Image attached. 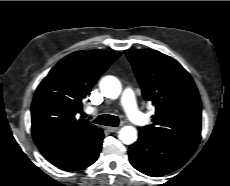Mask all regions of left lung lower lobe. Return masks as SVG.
<instances>
[{
  "label": "left lung lower lobe",
  "instance_id": "left-lung-lower-lobe-1",
  "mask_svg": "<svg viewBox=\"0 0 230 186\" xmlns=\"http://www.w3.org/2000/svg\"><path fill=\"white\" fill-rule=\"evenodd\" d=\"M197 146L158 139L139 131L138 141L129 148V160L138 171L160 177L179 169Z\"/></svg>",
  "mask_w": 230,
  "mask_h": 186
}]
</instances>
